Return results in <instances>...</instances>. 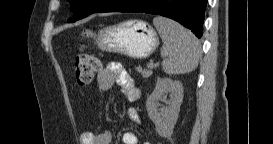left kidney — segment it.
I'll list each match as a JSON object with an SVG mask.
<instances>
[{
  "label": "left kidney",
  "instance_id": "5707ae66",
  "mask_svg": "<svg viewBox=\"0 0 273 144\" xmlns=\"http://www.w3.org/2000/svg\"><path fill=\"white\" fill-rule=\"evenodd\" d=\"M170 94V100L166 95ZM163 99L167 106L158 109L159 100ZM183 101V85L170 78H158L152 94L146 100L149 118L155 125L156 132L165 138H170L177 122L180 106Z\"/></svg>",
  "mask_w": 273,
  "mask_h": 144
}]
</instances>
